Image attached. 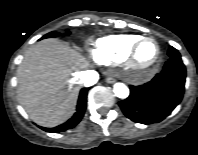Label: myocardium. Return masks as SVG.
Returning a JSON list of instances; mask_svg holds the SVG:
<instances>
[{"label": "myocardium", "mask_w": 198, "mask_h": 155, "mask_svg": "<svg viewBox=\"0 0 198 155\" xmlns=\"http://www.w3.org/2000/svg\"><path fill=\"white\" fill-rule=\"evenodd\" d=\"M145 42H152L156 46V54L154 58L147 63H143L138 59V50L140 46ZM128 58H129V66L135 73L138 74L148 73L154 70L159 64L161 58V48L155 39L150 37L141 38L135 43V45L131 49Z\"/></svg>", "instance_id": "f54148a6"}]
</instances>
